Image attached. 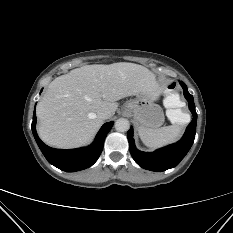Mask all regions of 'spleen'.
<instances>
[{"label": "spleen", "mask_w": 233, "mask_h": 233, "mask_svg": "<svg viewBox=\"0 0 233 233\" xmlns=\"http://www.w3.org/2000/svg\"><path fill=\"white\" fill-rule=\"evenodd\" d=\"M177 101L166 98L164 100L167 117L173 125L161 127L158 129H149L140 127L138 133L142 142L149 148H159L177 141L181 136V126L189 121V115L183 113L180 109H173Z\"/></svg>", "instance_id": "spleen-1"}]
</instances>
